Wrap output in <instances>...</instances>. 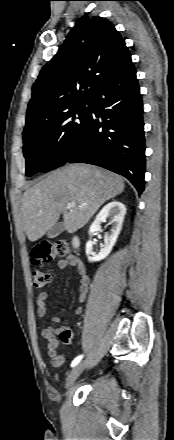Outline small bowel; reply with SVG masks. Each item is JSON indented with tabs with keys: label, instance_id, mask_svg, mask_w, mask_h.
I'll use <instances>...</instances> for the list:
<instances>
[{
	"label": "small bowel",
	"instance_id": "c3829d8e",
	"mask_svg": "<svg viewBox=\"0 0 174 440\" xmlns=\"http://www.w3.org/2000/svg\"><path fill=\"white\" fill-rule=\"evenodd\" d=\"M58 267L62 270L71 268L74 271H76V273L79 275L80 277V286H79V295H78V302H83L86 298V295L88 293V289H89V276L88 273L86 271V268L84 266V264L77 259L76 257L73 256H69L65 259H62L58 262ZM47 298H48V294L45 291H41L36 295V304H37V315L40 318H44L46 316L47 313V306H46V302H47ZM74 313L76 315H79L82 313V308L81 307H76L74 309ZM52 320L56 323L61 322L62 318L60 316H54L52 318ZM69 330L71 333V330L69 328L66 329H60L56 326L53 325H49V324H44L41 330V334L42 336L47 340V351H48V355L50 356V358L52 359V363L55 367H62L65 364V358L64 356L60 355L58 353V345H59V341L57 339V337H59V339L61 340L62 343L64 344H71L72 343V336L70 334V336L68 337H63L62 336V332L65 330Z\"/></svg>",
	"mask_w": 174,
	"mask_h": 440
}]
</instances>
